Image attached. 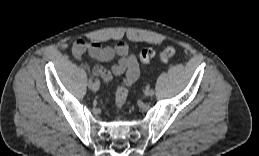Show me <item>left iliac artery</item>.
Listing matches in <instances>:
<instances>
[{
    "label": "left iliac artery",
    "mask_w": 259,
    "mask_h": 156,
    "mask_svg": "<svg viewBox=\"0 0 259 156\" xmlns=\"http://www.w3.org/2000/svg\"><path fill=\"white\" fill-rule=\"evenodd\" d=\"M156 94V91L154 89H151V97H154Z\"/></svg>",
    "instance_id": "left-iliac-artery-1"
}]
</instances>
